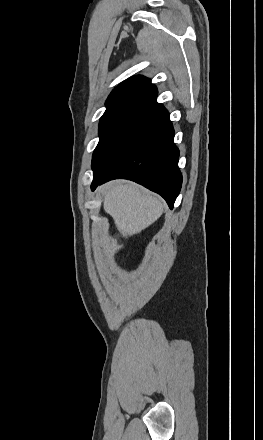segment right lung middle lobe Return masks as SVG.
Returning a JSON list of instances; mask_svg holds the SVG:
<instances>
[{"label": "right lung middle lobe", "instance_id": "dd1d6c3e", "mask_svg": "<svg viewBox=\"0 0 263 440\" xmlns=\"http://www.w3.org/2000/svg\"><path fill=\"white\" fill-rule=\"evenodd\" d=\"M161 112V107L117 108L100 119V140L93 152V178L108 174Z\"/></svg>", "mask_w": 263, "mask_h": 440}]
</instances>
